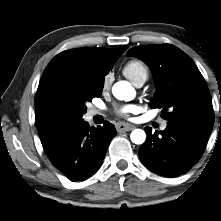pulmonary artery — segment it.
Listing matches in <instances>:
<instances>
[{"label":"pulmonary artery","instance_id":"obj_1","mask_svg":"<svg viewBox=\"0 0 221 221\" xmlns=\"http://www.w3.org/2000/svg\"><path fill=\"white\" fill-rule=\"evenodd\" d=\"M144 82H145V80L142 79V80L137 81L134 85H135L136 87H141V86L144 84ZM98 113H99L98 110L93 109V110L90 111V116H94V115H96V114H98ZM162 128H163V129L166 128V124H165V123L162 124Z\"/></svg>","mask_w":221,"mask_h":221}]
</instances>
